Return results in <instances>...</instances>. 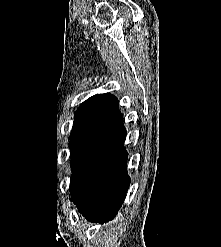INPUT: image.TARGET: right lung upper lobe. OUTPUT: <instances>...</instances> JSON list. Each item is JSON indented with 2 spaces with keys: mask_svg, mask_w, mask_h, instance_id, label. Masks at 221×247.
<instances>
[{
  "mask_svg": "<svg viewBox=\"0 0 221 247\" xmlns=\"http://www.w3.org/2000/svg\"><path fill=\"white\" fill-rule=\"evenodd\" d=\"M120 117L117 98L111 94H97L80 105L74 114L73 129L83 131Z\"/></svg>",
  "mask_w": 221,
  "mask_h": 247,
  "instance_id": "cb5924a9",
  "label": "right lung upper lobe"
}]
</instances>
